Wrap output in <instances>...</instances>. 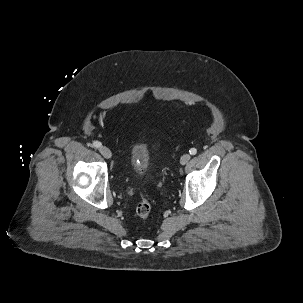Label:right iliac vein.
<instances>
[{"mask_svg":"<svg viewBox=\"0 0 303 303\" xmlns=\"http://www.w3.org/2000/svg\"><path fill=\"white\" fill-rule=\"evenodd\" d=\"M99 152L106 159H110L111 156H112L111 151L107 147H105V146L100 147Z\"/></svg>","mask_w":303,"mask_h":303,"instance_id":"right-iliac-vein-1","label":"right iliac vein"}]
</instances>
